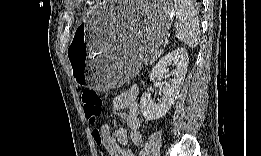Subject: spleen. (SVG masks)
Here are the masks:
<instances>
[{
  "mask_svg": "<svg viewBox=\"0 0 261 156\" xmlns=\"http://www.w3.org/2000/svg\"><path fill=\"white\" fill-rule=\"evenodd\" d=\"M176 15V37L191 48L196 47L199 38V20L192 1H178L176 8H171Z\"/></svg>",
  "mask_w": 261,
  "mask_h": 156,
  "instance_id": "3e777b00",
  "label": "spleen"
}]
</instances>
